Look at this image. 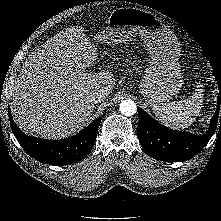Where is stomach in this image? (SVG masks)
Returning a JSON list of instances; mask_svg holds the SVG:
<instances>
[{"label":"stomach","instance_id":"1","mask_svg":"<svg viewBox=\"0 0 221 221\" xmlns=\"http://www.w3.org/2000/svg\"><path fill=\"white\" fill-rule=\"evenodd\" d=\"M108 26L93 37L96 43H122L139 34L151 61L140 83L145 102L154 107L166 104L182 87L178 58L180 44L169 26L155 14L130 7L114 9Z\"/></svg>","mask_w":221,"mask_h":221}]
</instances>
